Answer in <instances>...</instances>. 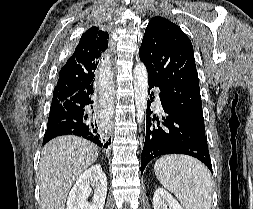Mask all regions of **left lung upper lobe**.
<instances>
[{
  "instance_id": "obj_1",
  "label": "left lung upper lobe",
  "mask_w": 253,
  "mask_h": 209,
  "mask_svg": "<svg viewBox=\"0 0 253 209\" xmlns=\"http://www.w3.org/2000/svg\"><path fill=\"white\" fill-rule=\"evenodd\" d=\"M139 57L173 110L205 133L193 46L184 32L163 17H153L146 27Z\"/></svg>"
}]
</instances>
